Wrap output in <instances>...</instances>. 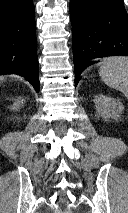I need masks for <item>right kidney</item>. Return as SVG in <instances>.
Listing matches in <instances>:
<instances>
[{
	"label": "right kidney",
	"mask_w": 128,
	"mask_h": 213,
	"mask_svg": "<svg viewBox=\"0 0 128 213\" xmlns=\"http://www.w3.org/2000/svg\"><path fill=\"white\" fill-rule=\"evenodd\" d=\"M23 103H24V99L17 101L16 103L13 104V106H11V109L19 110L21 105H23Z\"/></svg>",
	"instance_id": "obj_1"
}]
</instances>
